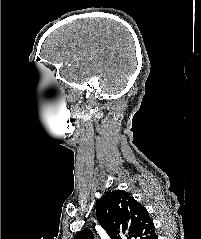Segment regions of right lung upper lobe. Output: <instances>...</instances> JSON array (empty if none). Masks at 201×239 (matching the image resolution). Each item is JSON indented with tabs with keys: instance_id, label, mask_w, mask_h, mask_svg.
Segmentation results:
<instances>
[{
	"instance_id": "cb5924a9",
	"label": "right lung upper lobe",
	"mask_w": 201,
	"mask_h": 239,
	"mask_svg": "<svg viewBox=\"0 0 201 239\" xmlns=\"http://www.w3.org/2000/svg\"><path fill=\"white\" fill-rule=\"evenodd\" d=\"M96 215L111 239H154L156 236L148 211L123 190L106 193L97 203ZM93 238L90 229H85L74 237Z\"/></svg>"
}]
</instances>
